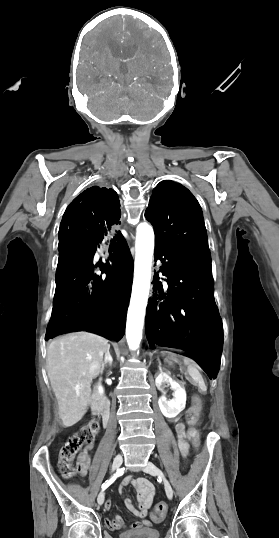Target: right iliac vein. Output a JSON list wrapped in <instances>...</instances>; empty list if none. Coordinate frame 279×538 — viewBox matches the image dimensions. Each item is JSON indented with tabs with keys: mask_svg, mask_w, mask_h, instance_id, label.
I'll use <instances>...</instances> for the list:
<instances>
[{
	"mask_svg": "<svg viewBox=\"0 0 279 538\" xmlns=\"http://www.w3.org/2000/svg\"><path fill=\"white\" fill-rule=\"evenodd\" d=\"M122 462H123L122 455L118 454L114 458V461H113V464H112V471H115L116 469H118L121 466ZM104 498H105L104 493L100 492V494L98 495V498H97V502H98L99 505L103 504Z\"/></svg>",
	"mask_w": 279,
	"mask_h": 538,
	"instance_id": "1",
	"label": "right iliac vein"
}]
</instances>
